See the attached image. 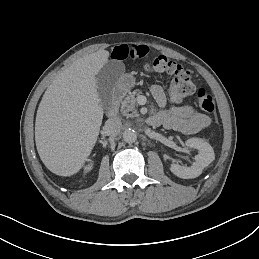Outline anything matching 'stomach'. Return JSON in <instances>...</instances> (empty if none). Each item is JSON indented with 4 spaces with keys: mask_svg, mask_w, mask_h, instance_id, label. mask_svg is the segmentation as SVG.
I'll return each instance as SVG.
<instances>
[{
    "mask_svg": "<svg viewBox=\"0 0 259 259\" xmlns=\"http://www.w3.org/2000/svg\"><path fill=\"white\" fill-rule=\"evenodd\" d=\"M136 85L135 77L130 74L126 73L121 76V78L118 80V86L128 92L132 88H134Z\"/></svg>",
    "mask_w": 259,
    "mask_h": 259,
    "instance_id": "stomach-1",
    "label": "stomach"
}]
</instances>
